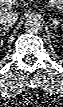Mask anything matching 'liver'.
<instances>
[{"instance_id": "6515ba94", "label": "liver", "mask_w": 63, "mask_h": 107, "mask_svg": "<svg viewBox=\"0 0 63 107\" xmlns=\"http://www.w3.org/2000/svg\"><path fill=\"white\" fill-rule=\"evenodd\" d=\"M1 8H0V11L2 10V9H9V6L11 5L8 1H6V0H1Z\"/></svg>"}]
</instances>
